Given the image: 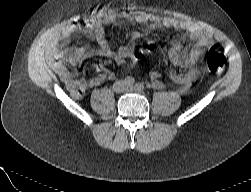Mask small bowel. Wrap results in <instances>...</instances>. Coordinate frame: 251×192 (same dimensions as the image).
I'll list each match as a JSON object with an SVG mask.
<instances>
[{
	"label": "small bowel",
	"instance_id": "c3829d8e",
	"mask_svg": "<svg viewBox=\"0 0 251 192\" xmlns=\"http://www.w3.org/2000/svg\"><path fill=\"white\" fill-rule=\"evenodd\" d=\"M119 19H127L138 23H150L155 27L174 28L185 32L183 36L178 37L173 42L169 50V58L174 64L185 65L182 71L173 73L172 79L177 85L178 93L187 94L199 74L200 65L205 55V47L211 43L210 35L199 25L187 19L160 17L143 11L123 12L120 14L101 12L95 19L83 27V31L86 35L95 37L100 41L101 48L97 51L98 54L112 58L117 64H123L126 60L133 58L134 47L128 44L120 47L116 52L111 51L104 43L103 32L100 25L102 23H112ZM77 28V25L69 24L63 26L56 32L50 38L48 54L55 60L53 64L54 70L66 85L71 95L76 99H80L89 88L98 86L104 81L112 79L114 73L104 66H99L92 77L78 79L75 74L66 68L65 62L70 65H77L92 54V51L86 48L73 50L65 56L59 53L58 43L67 38ZM150 79L154 88H162L164 86L161 81L160 72L152 71L150 73Z\"/></svg>",
	"mask_w": 251,
	"mask_h": 192
}]
</instances>
